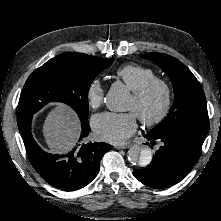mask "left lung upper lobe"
Instances as JSON below:
<instances>
[{
    "label": "left lung upper lobe",
    "instance_id": "left-lung-upper-lobe-1",
    "mask_svg": "<svg viewBox=\"0 0 221 221\" xmlns=\"http://www.w3.org/2000/svg\"><path fill=\"white\" fill-rule=\"evenodd\" d=\"M157 64L171 79L174 102L167 117L149 133L154 136L185 135L204 142L209 131L206 98L196 77L179 60L162 53L141 56Z\"/></svg>",
    "mask_w": 221,
    "mask_h": 221
}]
</instances>
